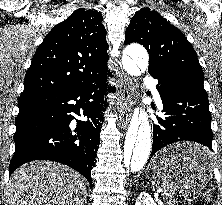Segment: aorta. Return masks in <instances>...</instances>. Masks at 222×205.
I'll return each mask as SVG.
<instances>
[{"instance_id": "762f6f07", "label": "aorta", "mask_w": 222, "mask_h": 205, "mask_svg": "<svg viewBox=\"0 0 222 205\" xmlns=\"http://www.w3.org/2000/svg\"><path fill=\"white\" fill-rule=\"evenodd\" d=\"M149 57L147 51L138 44L126 47L122 64L124 69L136 75L148 68ZM152 130L148 120V114L141 110L135 117L128 129L123 147L122 166L126 171L137 172L146 164L151 150Z\"/></svg>"}]
</instances>
